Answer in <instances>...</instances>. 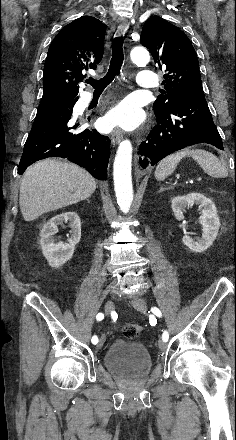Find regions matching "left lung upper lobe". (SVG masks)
I'll list each match as a JSON object with an SVG mask.
<instances>
[{"label": "left lung upper lobe", "instance_id": "5c2ea615", "mask_svg": "<svg viewBox=\"0 0 236 440\" xmlns=\"http://www.w3.org/2000/svg\"><path fill=\"white\" fill-rule=\"evenodd\" d=\"M140 43L151 53L156 68L165 70L163 95L154 102L155 115L172 109L182 97L204 93L197 54L183 31L159 16L143 25Z\"/></svg>", "mask_w": 236, "mask_h": 440}]
</instances>
